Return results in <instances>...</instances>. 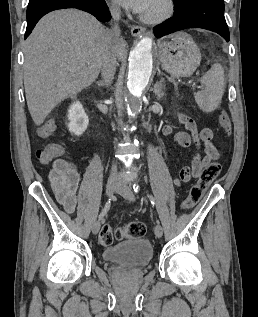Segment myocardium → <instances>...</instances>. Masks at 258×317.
I'll use <instances>...</instances> for the list:
<instances>
[{
	"label": "myocardium",
	"mask_w": 258,
	"mask_h": 317,
	"mask_svg": "<svg viewBox=\"0 0 258 317\" xmlns=\"http://www.w3.org/2000/svg\"><path fill=\"white\" fill-rule=\"evenodd\" d=\"M174 6L168 0H154L147 8H145L140 19L142 22L150 25H157L171 17Z\"/></svg>",
	"instance_id": "f54148a6"
}]
</instances>
